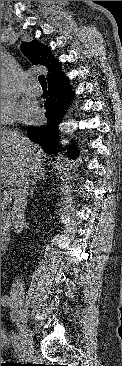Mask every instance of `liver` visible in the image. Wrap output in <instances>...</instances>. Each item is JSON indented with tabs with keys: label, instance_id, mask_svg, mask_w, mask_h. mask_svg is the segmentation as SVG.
Listing matches in <instances>:
<instances>
[{
	"label": "liver",
	"instance_id": "liver-1",
	"mask_svg": "<svg viewBox=\"0 0 122 366\" xmlns=\"http://www.w3.org/2000/svg\"><path fill=\"white\" fill-rule=\"evenodd\" d=\"M47 153L28 137L1 129V184L13 195V189L21 175L40 176Z\"/></svg>",
	"mask_w": 122,
	"mask_h": 366
}]
</instances>
